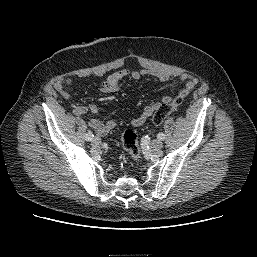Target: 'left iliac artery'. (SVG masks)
<instances>
[{"label": "left iliac artery", "instance_id": "obj_1", "mask_svg": "<svg viewBox=\"0 0 257 257\" xmlns=\"http://www.w3.org/2000/svg\"><path fill=\"white\" fill-rule=\"evenodd\" d=\"M157 138H158L159 140H164V139H165V135H164L163 133H159V134L157 135Z\"/></svg>", "mask_w": 257, "mask_h": 257}]
</instances>
